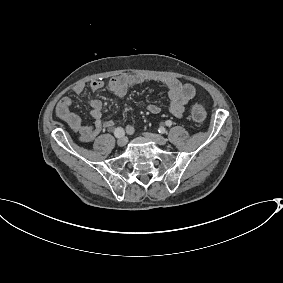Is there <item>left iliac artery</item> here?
<instances>
[{
	"label": "left iliac artery",
	"mask_w": 283,
	"mask_h": 283,
	"mask_svg": "<svg viewBox=\"0 0 283 283\" xmlns=\"http://www.w3.org/2000/svg\"><path fill=\"white\" fill-rule=\"evenodd\" d=\"M165 124H166V126L170 127L172 125V121L171 120H167L165 122ZM158 131H159V133H164L165 129L163 127H160Z\"/></svg>",
	"instance_id": "left-iliac-artery-1"
}]
</instances>
